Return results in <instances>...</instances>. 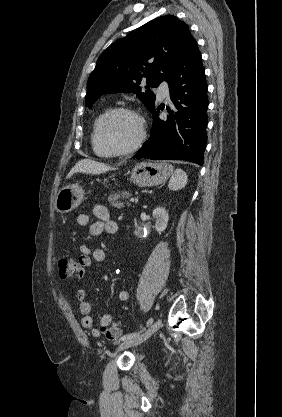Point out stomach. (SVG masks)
I'll return each mask as SVG.
<instances>
[{"mask_svg": "<svg viewBox=\"0 0 282 417\" xmlns=\"http://www.w3.org/2000/svg\"><path fill=\"white\" fill-rule=\"evenodd\" d=\"M173 174V166L169 162H137L131 170V180L138 186H157L165 182ZM84 190L78 182L63 186L59 190L56 200L55 209L58 213H70L81 204L84 198Z\"/></svg>", "mask_w": 282, "mask_h": 417, "instance_id": "stomach-1", "label": "stomach"}]
</instances>
